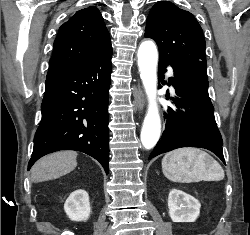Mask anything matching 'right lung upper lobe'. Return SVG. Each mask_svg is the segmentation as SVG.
I'll return each mask as SVG.
<instances>
[{
    "instance_id": "cb5924a9",
    "label": "right lung upper lobe",
    "mask_w": 250,
    "mask_h": 235,
    "mask_svg": "<svg viewBox=\"0 0 250 235\" xmlns=\"http://www.w3.org/2000/svg\"><path fill=\"white\" fill-rule=\"evenodd\" d=\"M111 48L99 10L93 6L79 10L59 28L48 73L78 68Z\"/></svg>"
}]
</instances>
